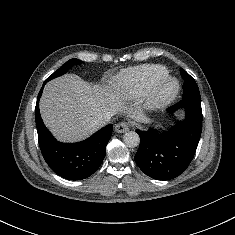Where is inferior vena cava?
<instances>
[{
	"mask_svg": "<svg viewBox=\"0 0 235 235\" xmlns=\"http://www.w3.org/2000/svg\"><path fill=\"white\" fill-rule=\"evenodd\" d=\"M111 117H112V113L107 112L102 117H100L96 120V124L99 126L106 125L108 123V121L111 119Z\"/></svg>",
	"mask_w": 235,
	"mask_h": 235,
	"instance_id": "602c4592",
	"label": "inferior vena cava"
}]
</instances>
